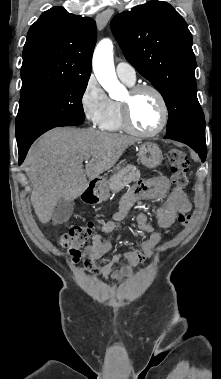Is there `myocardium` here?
<instances>
[{
	"mask_svg": "<svg viewBox=\"0 0 221 379\" xmlns=\"http://www.w3.org/2000/svg\"><path fill=\"white\" fill-rule=\"evenodd\" d=\"M149 91L153 93L158 99L160 109H161V118L158 126L151 131H142L138 129L132 120L131 115V100L136 97L138 94ZM121 104V116L122 122L125 130L129 131L132 134L141 137H153L161 133L166 127L169 119V109L166 102V99L162 92L153 85L150 84H138L132 86L128 91V98L120 102Z\"/></svg>",
	"mask_w": 221,
	"mask_h": 379,
	"instance_id": "obj_1",
	"label": "myocardium"
}]
</instances>
